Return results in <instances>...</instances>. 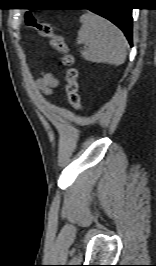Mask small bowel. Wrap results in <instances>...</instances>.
I'll list each match as a JSON object with an SVG mask.
<instances>
[{
    "label": "small bowel",
    "instance_id": "obj_1",
    "mask_svg": "<svg viewBox=\"0 0 156 266\" xmlns=\"http://www.w3.org/2000/svg\"><path fill=\"white\" fill-rule=\"evenodd\" d=\"M39 89L46 95H51L53 90L59 85V79L52 73L45 72L37 80Z\"/></svg>",
    "mask_w": 156,
    "mask_h": 266
}]
</instances>
